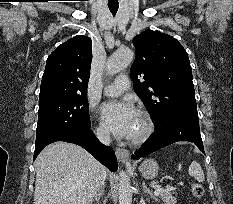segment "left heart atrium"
<instances>
[{"instance_id": "obj_1", "label": "left heart atrium", "mask_w": 233, "mask_h": 204, "mask_svg": "<svg viewBox=\"0 0 233 204\" xmlns=\"http://www.w3.org/2000/svg\"><path fill=\"white\" fill-rule=\"evenodd\" d=\"M137 112L128 101H109L100 108L103 125L115 136L131 138Z\"/></svg>"}]
</instances>
